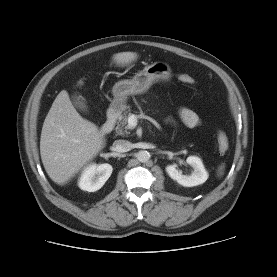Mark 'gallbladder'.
I'll return each instance as SVG.
<instances>
[{
	"label": "gallbladder",
	"instance_id": "bac80fb5",
	"mask_svg": "<svg viewBox=\"0 0 277 277\" xmlns=\"http://www.w3.org/2000/svg\"><path fill=\"white\" fill-rule=\"evenodd\" d=\"M73 103H74L75 107L77 109H79L80 111H83V112L88 111V105H87L86 101L83 99V97L74 96L73 97Z\"/></svg>",
	"mask_w": 277,
	"mask_h": 277
}]
</instances>
